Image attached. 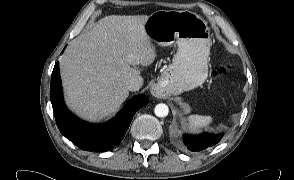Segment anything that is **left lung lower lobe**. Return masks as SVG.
I'll list each match as a JSON object with an SVG mask.
<instances>
[{
  "mask_svg": "<svg viewBox=\"0 0 294 180\" xmlns=\"http://www.w3.org/2000/svg\"><path fill=\"white\" fill-rule=\"evenodd\" d=\"M222 138V134H204L199 136L184 137V144L190 151H201L217 144Z\"/></svg>",
  "mask_w": 294,
  "mask_h": 180,
  "instance_id": "obj_1",
  "label": "left lung lower lobe"
}]
</instances>
